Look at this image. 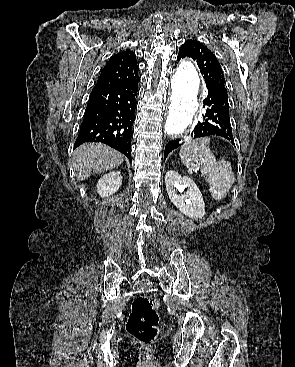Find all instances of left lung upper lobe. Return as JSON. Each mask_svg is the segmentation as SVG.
Wrapping results in <instances>:
<instances>
[{
    "mask_svg": "<svg viewBox=\"0 0 295 367\" xmlns=\"http://www.w3.org/2000/svg\"><path fill=\"white\" fill-rule=\"evenodd\" d=\"M184 57L196 60L206 86L210 82L225 86L224 73L217 58L202 43L192 39L185 41L179 48L178 60Z\"/></svg>",
    "mask_w": 295,
    "mask_h": 367,
    "instance_id": "1",
    "label": "left lung upper lobe"
}]
</instances>
